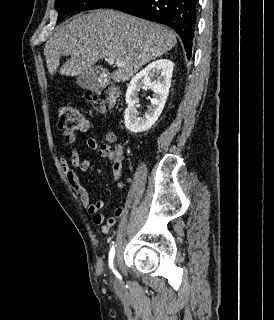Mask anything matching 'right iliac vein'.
Wrapping results in <instances>:
<instances>
[{
    "label": "right iliac vein",
    "mask_w": 274,
    "mask_h": 320,
    "mask_svg": "<svg viewBox=\"0 0 274 320\" xmlns=\"http://www.w3.org/2000/svg\"><path fill=\"white\" fill-rule=\"evenodd\" d=\"M114 283L116 286H118V287L120 286V281L118 279H115Z\"/></svg>",
    "instance_id": "1"
}]
</instances>
